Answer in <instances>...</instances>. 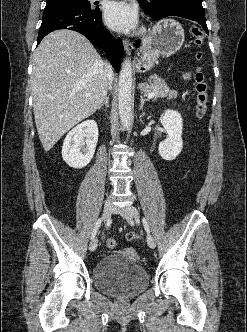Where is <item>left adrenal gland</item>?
<instances>
[{"label": "left adrenal gland", "mask_w": 247, "mask_h": 332, "mask_svg": "<svg viewBox=\"0 0 247 332\" xmlns=\"http://www.w3.org/2000/svg\"><path fill=\"white\" fill-rule=\"evenodd\" d=\"M148 101V99H145L142 95L140 96V110L143 109L144 103Z\"/></svg>", "instance_id": "a2214340"}]
</instances>
